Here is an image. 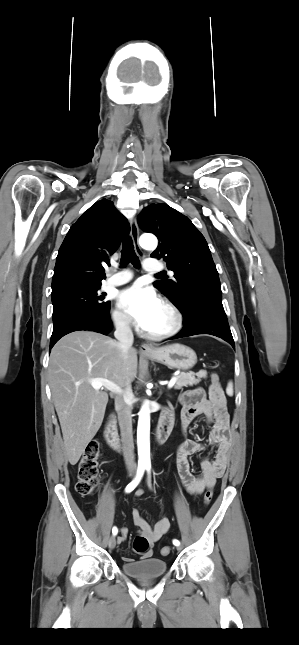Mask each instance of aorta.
I'll return each instance as SVG.
<instances>
[{"label":"aorta","mask_w":299,"mask_h":645,"mask_svg":"<svg viewBox=\"0 0 299 645\" xmlns=\"http://www.w3.org/2000/svg\"><path fill=\"white\" fill-rule=\"evenodd\" d=\"M139 242L147 250H154L158 244L157 238L149 234L142 235ZM137 446L139 464H150V411L147 405H143L139 412Z\"/></svg>","instance_id":"762f6f07"}]
</instances>
